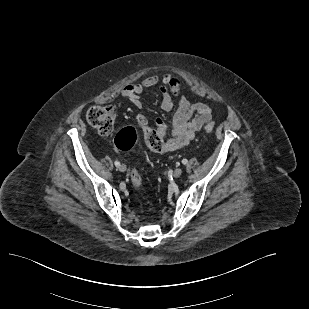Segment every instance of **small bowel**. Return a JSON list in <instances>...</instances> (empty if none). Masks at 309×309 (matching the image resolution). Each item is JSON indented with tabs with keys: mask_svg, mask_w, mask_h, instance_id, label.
<instances>
[{
	"mask_svg": "<svg viewBox=\"0 0 309 309\" xmlns=\"http://www.w3.org/2000/svg\"><path fill=\"white\" fill-rule=\"evenodd\" d=\"M160 84L162 94L161 109L171 111L174 107V98L178 99V106L170 124L158 118L155 121L157 132L162 138V148L160 152L174 151L188 145L195 137L196 133L212 119L211 107L203 102L191 104L189 100L181 94L180 80L172 74L165 73L162 76L157 74L149 75L138 83L126 85L122 90V95L128 98L134 106L142 108L141 95L149 88ZM137 122L146 127L147 117L140 113L137 115Z\"/></svg>",
	"mask_w": 309,
	"mask_h": 309,
	"instance_id": "small-bowel-1",
	"label": "small bowel"
}]
</instances>
